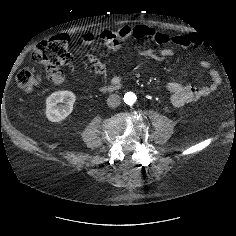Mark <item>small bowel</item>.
Masks as SVG:
<instances>
[{
  "mask_svg": "<svg viewBox=\"0 0 236 236\" xmlns=\"http://www.w3.org/2000/svg\"><path fill=\"white\" fill-rule=\"evenodd\" d=\"M67 38V36L63 35ZM129 38L138 40H148L162 46L157 50H147V54L155 60L163 61L173 56L174 48H188L190 46L200 45L202 38L198 34L191 33L188 35H170L157 32L147 26H135L133 28L125 26L117 31L103 30L98 35V40L103 43L108 49L118 51L121 43ZM96 37L91 32H85L80 37V42L83 45L89 46L93 44ZM89 64L93 71L99 76H106V70L103 64L94 56L88 57ZM200 66L209 68L210 62L202 60ZM211 82L208 85H189L179 82H165L157 86L159 90L167 91L171 94V102L175 107H183L189 103L195 102L209 94L215 92L221 84V75L216 70L210 71ZM54 83H61L63 77L59 73L52 78ZM114 82H119V78L113 79Z\"/></svg>",
  "mask_w": 236,
  "mask_h": 236,
  "instance_id": "small-bowel-1",
  "label": "small bowel"
}]
</instances>
